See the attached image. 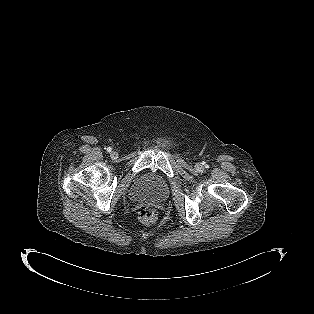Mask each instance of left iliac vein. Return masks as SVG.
Returning <instances> with one entry per match:
<instances>
[{
	"label": "left iliac vein",
	"mask_w": 314,
	"mask_h": 314,
	"mask_svg": "<svg viewBox=\"0 0 314 314\" xmlns=\"http://www.w3.org/2000/svg\"><path fill=\"white\" fill-rule=\"evenodd\" d=\"M195 168H196V170L197 171H201L203 168H202V165L201 164H196V166H195Z\"/></svg>",
	"instance_id": "left-iliac-vein-1"
}]
</instances>
